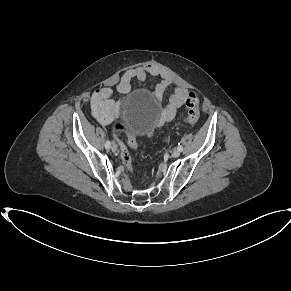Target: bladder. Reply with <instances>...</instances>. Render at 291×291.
Returning a JSON list of instances; mask_svg holds the SVG:
<instances>
[{"instance_id":"obj_1","label":"bladder","mask_w":291,"mask_h":291,"mask_svg":"<svg viewBox=\"0 0 291 291\" xmlns=\"http://www.w3.org/2000/svg\"><path fill=\"white\" fill-rule=\"evenodd\" d=\"M139 105H150L156 107L157 102L153 100L149 94L143 91H136L128 95L124 100V110L122 115L125 122L122 126L127 133L133 135H149L155 126H153L149 118H143L135 111V106Z\"/></svg>"}]
</instances>
